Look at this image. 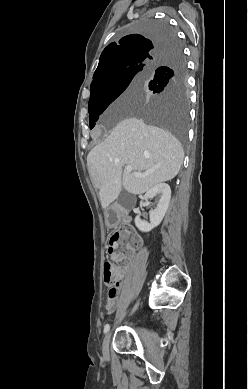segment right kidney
<instances>
[{
    "label": "right kidney",
    "mask_w": 248,
    "mask_h": 389,
    "mask_svg": "<svg viewBox=\"0 0 248 389\" xmlns=\"http://www.w3.org/2000/svg\"><path fill=\"white\" fill-rule=\"evenodd\" d=\"M156 195H159V201L156 208L150 211V224L142 221L139 215L135 217V225L142 232L151 231L163 220L171 199L170 186L166 183L155 185L153 188L146 192L144 200L147 201L149 198H153Z\"/></svg>",
    "instance_id": "1"
}]
</instances>
